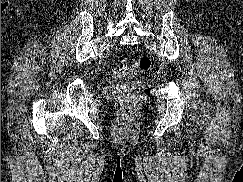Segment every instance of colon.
I'll use <instances>...</instances> for the list:
<instances>
[{"mask_svg":"<svg viewBox=\"0 0 243 182\" xmlns=\"http://www.w3.org/2000/svg\"><path fill=\"white\" fill-rule=\"evenodd\" d=\"M151 59L142 56L130 62L125 55H119L111 72L114 77L128 78L137 72H146L151 68ZM121 111L126 118L132 117L138 103V96L131 91H122L120 94Z\"/></svg>","mask_w":243,"mask_h":182,"instance_id":"obj_1","label":"colon"}]
</instances>
